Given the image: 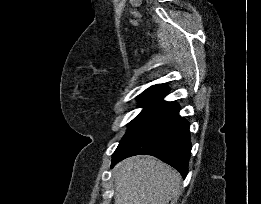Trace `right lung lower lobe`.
Returning a JSON list of instances; mask_svg holds the SVG:
<instances>
[{
    "label": "right lung lower lobe",
    "instance_id": "1",
    "mask_svg": "<svg viewBox=\"0 0 261 204\" xmlns=\"http://www.w3.org/2000/svg\"><path fill=\"white\" fill-rule=\"evenodd\" d=\"M179 110L176 102H163L120 141L113 153L111 168L129 156L147 154L171 165L185 178L191 142L189 123L179 115Z\"/></svg>",
    "mask_w": 261,
    "mask_h": 204
}]
</instances>
